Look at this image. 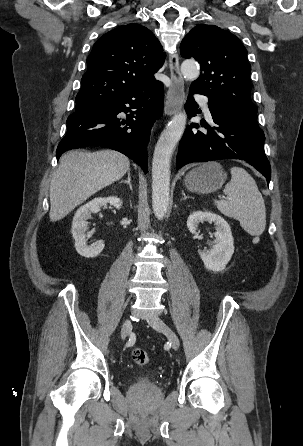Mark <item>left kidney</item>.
<instances>
[{"label": "left kidney", "instance_id": "5707ae66", "mask_svg": "<svg viewBox=\"0 0 303 446\" xmlns=\"http://www.w3.org/2000/svg\"><path fill=\"white\" fill-rule=\"evenodd\" d=\"M214 223L216 232L215 240L210 243V249L204 252L199 250V255L206 269L220 272L225 269L234 253V239L229 224L219 215L211 212L195 211L188 217L187 228L195 234L200 222Z\"/></svg>", "mask_w": 303, "mask_h": 446}]
</instances>
